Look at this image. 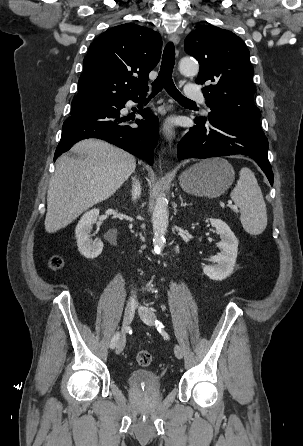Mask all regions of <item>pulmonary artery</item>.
<instances>
[{"instance_id":"e3ab8cb5","label":"pulmonary artery","mask_w":303,"mask_h":446,"mask_svg":"<svg viewBox=\"0 0 303 446\" xmlns=\"http://www.w3.org/2000/svg\"><path fill=\"white\" fill-rule=\"evenodd\" d=\"M186 97L191 100L204 101L203 94L198 86L189 84L186 86Z\"/></svg>"}]
</instances>
